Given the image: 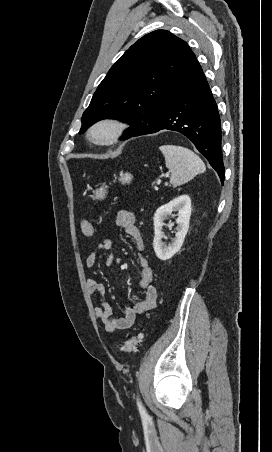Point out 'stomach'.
<instances>
[{
	"mask_svg": "<svg viewBox=\"0 0 272 452\" xmlns=\"http://www.w3.org/2000/svg\"><path fill=\"white\" fill-rule=\"evenodd\" d=\"M132 179L133 175L131 173L123 171L120 172L118 178L119 182H121L122 184H129L132 181ZM106 194H107L106 187H100L93 191L91 197L93 198V200H102L105 198Z\"/></svg>",
	"mask_w": 272,
	"mask_h": 452,
	"instance_id": "0dacf381",
	"label": "stomach"
}]
</instances>
